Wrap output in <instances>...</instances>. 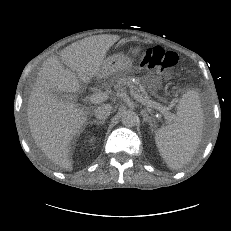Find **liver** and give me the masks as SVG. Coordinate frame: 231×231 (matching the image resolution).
Returning a JSON list of instances; mask_svg holds the SVG:
<instances>
[{"mask_svg": "<svg viewBox=\"0 0 231 231\" xmlns=\"http://www.w3.org/2000/svg\"><path fill=\"white\" fill-rule=\"evenodd\" d=\"M119 39L110 34L84 38L42 65L28 100V124L37 146L63 169L72 170L71 144L87 124L90 109L62 100L53 91L77 93L80 82L89 83L99 76L107 51Z\"/></svg>", "mask_w": 231, "mask_h": 231, "instance_id": "6515ba94", "label": "liver"}]
</instances>
